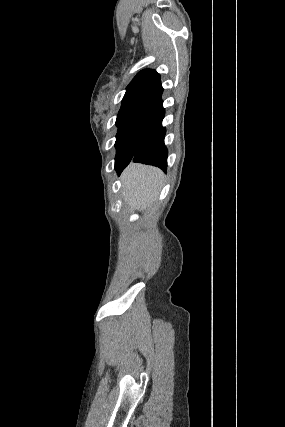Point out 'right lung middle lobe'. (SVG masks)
Returning <instances> with one entry per match:
<instances>
[{
  "instance_id": "right-lung-middle-lobe-1",
  "label": "right lung middle lobe",
  "mask_w": 285,
  "mask_h": 427,
  "mask_svg": "<svg viewBox=\"0 0 285 427\" xmlns=\"http://www.w3.org/2000/svg\"><path fill=\"white\" fill-rule=\"evenodd\" d=\"M147 115H137L116 121L118 132L115 169L129 163L142 143V129Z\"/></svg>"
}]
</instances>
